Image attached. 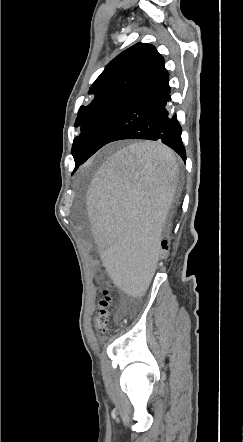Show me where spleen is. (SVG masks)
Wrapping results in <instances>:
<instances>
[{
  "label": "spleen",
  "mask_w": 243,
  "mask_h": 442,
  "mask_svg": "<svg viewBox=\"0 0 243 442\" xmlns=\"http://www.w3.org/2000/svg\"><path fill=\"white\" fill-rule=\"evenodd\" d=\"M177 163L158 142H140L116 152L103 172H94L86 226H93L97 256L123 296H144L161 251L163 219L172 209ZM158 192V193H140Z\"/></svg>",
  "instance_id": "1"
}]
</instances>
